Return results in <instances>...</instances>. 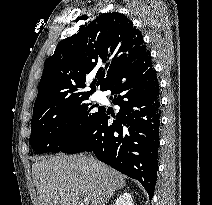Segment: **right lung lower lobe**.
<instances>
[{"instance_id":"right-lung-lower-lobe-1","label":"right lung lower lobe","mask_w":212,"mask_h":205,"mask_svg":"<svg viewBox=\"0 0 212 205\" xmlns=\"http://www.w3.org/2000/svg\"><path fill=\"white\" fill-rule=\"evenodd\" d=\"M120 111L112 124L103 109L95 123L63 153L94 152L102 162L137 179L151 199L157 179L160 90L150 52L124 66L106 85ZM112 98V97H111Z\"/></svg>"}]
</instances>
